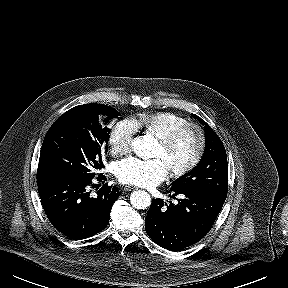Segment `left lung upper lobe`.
Segmentation results:
<instances>
[{
	"label": "left lung upper lobe",
	"instance_id": "1",
	"mask_svg": "<svg viewBox=\"0 0 288 288\" xmlns=\"http://www.w3.org/2000/svg\"><path fill=\"white\" fill-rule=\"evenodd\" d=\"M193 117L205 125V152L197 166L176 179L170 190L198 192L225 201L228 192V164L224 145L204 120L195 114Z\"/></svg>",
	"mask_w": 288,
	"mask_h": 288
}]
</instances>
